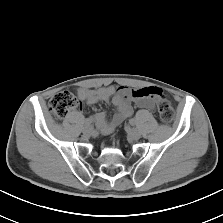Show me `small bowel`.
<instances>
[{
  "label": "small bowel",
  "instance_id": "small-bowel-1",
  "mask_svg": "<svg viewBox=\"0 0 223 223\" xmlns=\"http://www.w3.org/2000/svg\"><path fill=\"white\" fill-rule=\"evenodd\" d=\"M156 87L129 88L126 86H104L97 89L80 88L77 91L79 99L88 105L98 102H109L117 108V113L110 121H107L105 112H98L94 117L98 130L103 134H110L118 125L128 119L133 114V106L147 110L154 108V98L152 94Z\"/></svg>",
  "mask_w": 223,
  "mask_h": 223
}]
</instances>
